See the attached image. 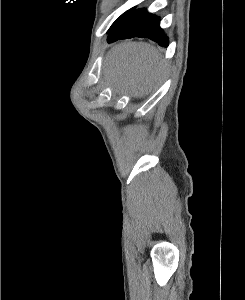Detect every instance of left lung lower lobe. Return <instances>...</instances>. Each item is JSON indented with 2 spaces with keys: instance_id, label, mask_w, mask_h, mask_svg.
Masks as SVG:
<instances>
[{
  "instance_id": "obj_1",
  "label": "left lung lower lobe",
  "mask_w": 245,
  "mask_h": 300,
  "mask_svg": "<svg viewBox=\"0 0 245 300\" xmlns=\"http://www.w3.org/2000/svg\"><path fill=\"white\" fill-rule=\"evenodd\" d=\"M133 37L149 38L160 46H168V37L159 26V17L145 9L131 10L109 29L108 43Z\"/></svg>"
}]
</instances>
